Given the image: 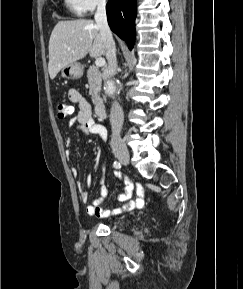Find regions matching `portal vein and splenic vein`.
I'll return each instance as SVG.
<instances>
[{
	"instance_id": "1",
	"label": "portal vein and splenic vein",
	"mask_w": 243,
	"mask_h": 289,
	"mask_svg": "<svg viewBox=\"0 0 243 289\" xmlns=\"http://www.w3.org/2000/svg\"><path fill=\"white\" fill-rule=\"evenodd\" d=\"M95 65H96L97 67H102V66H104V65H105V59L102 58V57L96 58V60H95Z\"/></svg>"
}]
</instances>
